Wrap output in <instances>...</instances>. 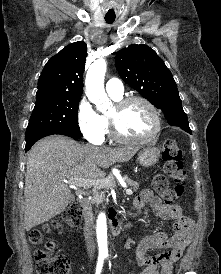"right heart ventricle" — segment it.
<instances>
[{"instance_id":"1","label":"right heart ventricle","mask_w":221,"mask_h":274,"mask_svg":"<svg viewBox=\"0 0 221 274\" xmlns=\"http://www.w3.org/2000/svg\"><path fill=\"white\" fill-rule=\"evenodd\" d=\"M111 96V98L113 99V100H115V101H118V100H120L121 99V97H116V96H113V95H110ZM103 117V119H104V121H105V123H106V132L108 131V128H109V121H108V117L107 116H102Z\"/></svg>"}]
</instances>
